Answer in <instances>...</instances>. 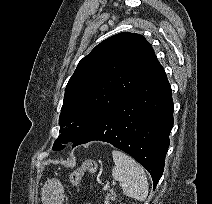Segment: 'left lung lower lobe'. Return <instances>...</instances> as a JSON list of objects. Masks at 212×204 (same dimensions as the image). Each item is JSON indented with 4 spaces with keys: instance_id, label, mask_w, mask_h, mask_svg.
<instances>
[{
    "instance_id": "obj_1",
    "label": "left lung lower lobe",
    "mask_w": 212,
    "mask_h": 204,
    "mask_svg": "<svg viewBox=\"0 0 212 204\" xmlns=\"http://www.w3.org/2000/svg\"><path fill=\"white\" fill-rule=\"evenodd\" d=\"M171 92L165 71L160 66L107 111L74 146L94 140L112 144L148 170L155 188L163 173L173 127Z\"/></svg>"
}]
</instances>
